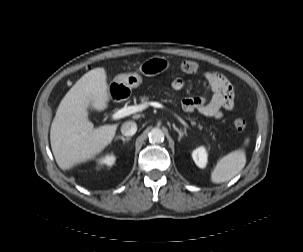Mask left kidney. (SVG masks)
<instances>
[{
  "mask_svg": "<svg viewBox=\"0 0 303 252\" xmlns=\"http://www.w3.org/2000/svg\"><path fill=\"white\" fill-rule=\"evenodd\" d=\"M192 158L195 162V164L200 167V168H204L207 164V152L206 149L201 146L196 148L193 152H192Z\"/></svg>",
  "mask_w": 303,
  "mask_h": 252,
  "instance_id": "5707ae66",
  "label": "left kidney"
}]
</instances>
